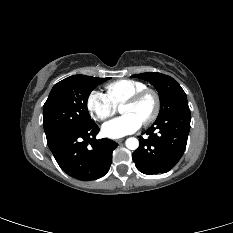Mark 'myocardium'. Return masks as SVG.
Wrapping results in <instances>:
<instances>
[{
    "label": "myocardium",
    "mask_w": 233,
    "mask_h": 233,
    "mask_svg": "<svg viewBox=\"0 0 233 233\" xmlns=\"http://www.w3.org/2000/svg\"><path fill=\"white\" fill-rule=\"evenodd\" d=\"M148 95L153 97L154 102H155V106H154V111L151 114V116L142 123L144 126H148V125L154 123L160 114L161 100H160V96H159L157 91L150 89V88L143 89V90L133 94L132 96H130L121 105V106L135 105L138 102H140L144 97H146Z\"/></svg>",
    "instance_id": "1"
}]
</instances>
